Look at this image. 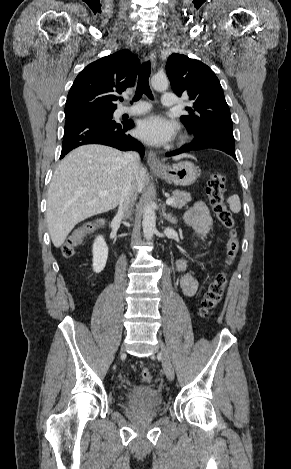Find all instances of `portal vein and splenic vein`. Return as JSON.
<instances>
[{
    "instance_id": "portal-vein-and-splenic-vein-1",
    "label": "portal vein and splenic vein",
    "mask_w": 291,
    "mask_h": 469,
    "mask_svg": "<svg viewBox=\"0 0 291 469\" xmlns=\"http://www.w3.org/2000/svg\"><path fill=\"white\" fill-rule=\"evenodd\" d=\"M107 194H108V191H102V192H100V195H101V196H105V195H107ZM173 202H174V199H173V198H168V199L166 200V204H167V205H171V204H173Z\"/></svg>"
}]
</instances>
